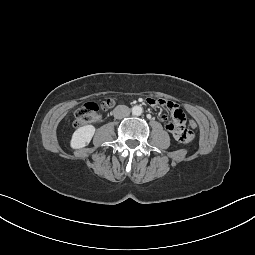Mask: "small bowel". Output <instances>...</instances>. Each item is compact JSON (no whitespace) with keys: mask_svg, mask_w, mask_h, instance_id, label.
<instances>
[{"mask_svg":"<svg viewBox=\"0 0 255 255\" xmlns=\"http://www.w3.org/2000/svg\"><path fill=\"white\" fill-rule=\"evenodd\" d=\"M145 103L149 107L170 110L168 115V122L166 129L169 131L170 137L173 140L179 141L181 144L187 145L195 141L197 138L196 133L192 130L186 120L185 112L182 106L172 99L157 98L149 96L146 98ZM162 121L167 120L166 114H161Z\"/></svg>","mask_w":255,"mask_h":255,"instance_id":"c3829d8e","label":"small bowel"}]
</instances>
